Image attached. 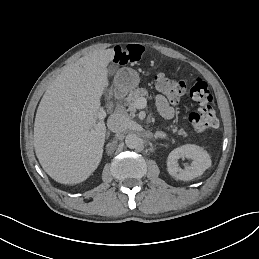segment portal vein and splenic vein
Masks as SVG:
<instances>
[{"mask_svg": "<svg viewBox=\"0 0 259 259\" xmlns=\"http://www.w3.org/2000/svg\"><path fill=\"white\" fill-rule=\"evenodd\" d=\"M132 106L135 108V109H145L147 107V101L144 97H141V98H138L136 100L133 101L132 103ZM107 115L106 111H101L99 112L98 114V117L100 119H103L105 118Z\"/></svg>", "mask_w": 259, "mask_h": 259, "instance_id": "obj_1", "label": "portal vein and splenic vein"}]
</instances>
